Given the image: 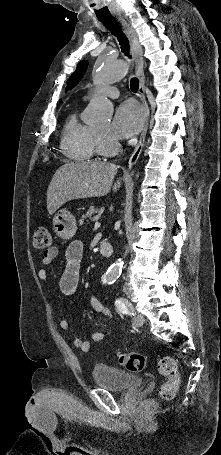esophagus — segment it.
I'll return each mask as SVG.
<instances>
[{
    "mask_svg": "<svg viewBox=\"0 0 221 455\" xmlns=\"http://www.w3.org/2000/svg\"><path fill=\"white\" fill-rule=\"evenodd\" d=\"M118 19L121 22V24L128 36V39L130 41L131 52H132V55H133V58H134V61L136 64V76L139 80L138 92H139V96L141 98L142 104L144 106V109H145V122H144L143 130L140 135L138 144L128 161V169H131L132 166L137 162V160L142 152L143 146H144L146 133L148 130L150 110H149V106H148L146 96H145L144 59H143L142 47L139 43V40H138V37H137L135 31L130 27V25L127 23V21L121 16H119Z\"/></svg>",
    "mask_w": 221,
    "mask_h": 455,
    "instance_id": "obj_1",
    "label": "esophagus"
}]
</instances>
